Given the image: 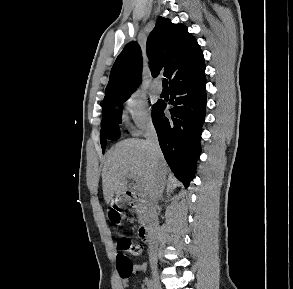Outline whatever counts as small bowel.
I'll list each match as a JSON object with an SVG mask.
<instances>
[{
    "mask_svg": "<svg viewBox=\"0 0 293 289\" xmlns=\"http://www.w3.org/2000/svg\"><path fill=\"white\" fill-rule=\"evenodd\" d=\"M146 269H147V265L145 263H138L134 266V270L137 273H143L146 271ZM122 285H123V288H126L128 286L126 281H124Z\"/></svg>",
    "mask_w": 293,
    "mask_h": 289,
    "instance_id": "small-bowel-1",
    "label": "small bowel"
}]
</instances>
